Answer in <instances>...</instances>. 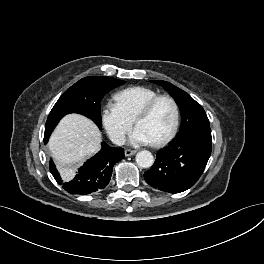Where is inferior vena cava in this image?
Listing matches in <instances>:
<instances>
[{"label": "inferior vena cava", "instance_id": "obj_1", "mask_svg": "<svg viewBox=\"0 0 264 264\" xmlns=\"http://www.w3.org/2000/svg\"><path fill=\"white\" fill-rule=\"evenodd\" d=\"M111 141L116 145H124L126 138L125 135L118 133L111 136Z\"/></svg>", "mask_w": 264, "mask_h": 264}]
</instances>
